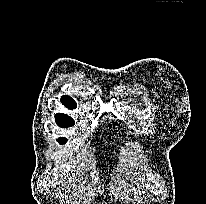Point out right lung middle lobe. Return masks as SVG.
Masks as SVG:
<instances>
[{"instance_id": "1", "label": "right lung middle lobe", "mask_w": 206, "mask_h": 204, "mask_svg": "<svg viewBox=\"0 0 206 204\" xmlns=\"http://www.w3.org/2000/svg\"><path fill=\"white\" fill-rule=\"evenodd\" d=\"M56 119V123L62 127V128H67V127H71L75 124V121L69 117L68 115H61V114H57L55 116ZM66 138H59L58 142L60 144H64L66 142Z\"/></svg>"}]
</instances>
